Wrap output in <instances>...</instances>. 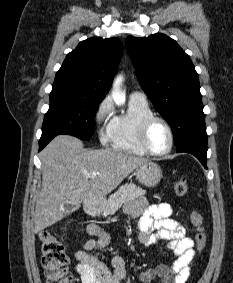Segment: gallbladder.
Here are the masks:
<instances>
[{
    "label": "gallbladder",
    "mask_w": 233,
    "mask_h": 283,
    "mask_svg": "<svg viewBox=\"0 0 233 283\" xmlns=\"http://www.w3.org/2000/svg\"><path fill=\"white\" fill-rule=\"evenodd\" d=\"M79 208V205L69 206V209L73 212Z\"/></svg>",
    "instance_id": "obj_1"
}]
</instances>
